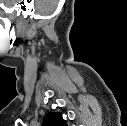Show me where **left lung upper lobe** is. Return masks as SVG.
<instances>
[{
    "instance_id": "1",
    "label": "left lung upper lobe",
    "mask_w": 127,
    "mask_h": 126,
    "mask_svg": "<svg viewBox=\"0 0 127 126\" xmlns=\"http://www.w3.org/2000/svg\"><path fill=\"white\" fill-rule=\"evenodd\" d=\"M43 126H67L60 112H50L45 116Z\"/></svg>"
}]
</instances>
